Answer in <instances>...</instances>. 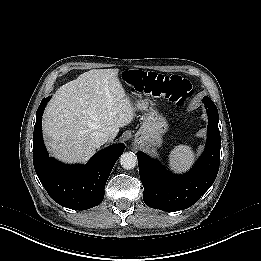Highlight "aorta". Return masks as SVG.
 Instances as JSON below:
<instances>
[{"label":"aorta","mask_w":261,"mask_h":261,"mask_svg":"<svg viewBox=\"0 0 261 261\" xmlns=\"http://www.w3.org/2000/svg\"><path fill=\"white\" fill-rule=\"evenodd\" d=\"M120 164L125 170L135 168L137 165V156L133 152H125L120 157Z\"/></svg>","instance_id":"762f6f07"}]
</instances>
